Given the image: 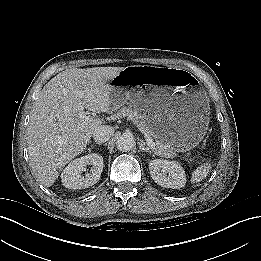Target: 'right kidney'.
<instances>
[{
  "label": "right kidney",
  "instance_id": "ca27d5eb",
  "mask_svg": "<svg viewBox=\"0 0 261 261\" xmlns=\"http://www.w3.org/2000/svg\"><path fill=\"white\" fill-rule=\"evenodd\" d=\"M91 166V172L82 176L86 166ZM103 157L92 153L73 160L61 174L62 183L69 189H85L96 184L103 171Z\"/></svg>",
  "mask_w": 261,
  "mask_h": 261
}]
</instances>
